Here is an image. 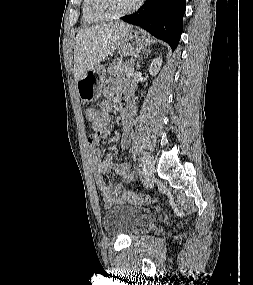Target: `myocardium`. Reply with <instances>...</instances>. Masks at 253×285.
I'll return each mask as SVG.
<instances>
[{
  "label": "myocardium",
  "instance_id": "obj_1",
  "mask_svg": "<svg viewBox=\"0 0 253 285\" xmlns=\"http://www.w3.org/2000/svg\"><path fill=\"white\" fill-rule=\"evenodd\" d=\"M91 12L102 20L119 19L135 12L142 4L143 0H136V2L128 9L118 13H108L101 7V0H89Z\"/></svg>",
  "mask_w": 253,
  "mask_h": 285
}]
</instances>
